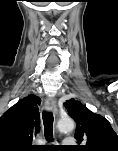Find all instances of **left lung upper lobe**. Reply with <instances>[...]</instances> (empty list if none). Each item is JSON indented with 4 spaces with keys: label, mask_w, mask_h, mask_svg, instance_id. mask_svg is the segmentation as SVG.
<instances>
[{
    "label": "left lung upper lobe",
    "mask_w": 118,
    "mask_h": 151,
    "mask_svg": "<svg viewBox=\"0 0 118 151\" xmlns=\"http://www.w3.org/2000/svg\"><path fill=\"white\" fill-rule=\"evenodd\" d=\"M65 107L77 126L75 137L80 151H118V136L109 121L90 111L75 99L66 101Z\"/></svg>",
    "instance_id": "1"
}]
</instances>
